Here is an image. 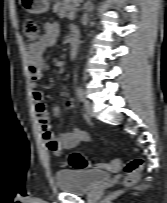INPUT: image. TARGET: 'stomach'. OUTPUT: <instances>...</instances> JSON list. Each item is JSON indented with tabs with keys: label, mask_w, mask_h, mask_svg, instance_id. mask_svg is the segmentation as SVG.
<instances>
[{
	"label": "stomach",
	"mask_w": 167,
	"mask_h": 203,
	"mask_svg": "<svg viewBox=\"0 0 167 203\" xmlns=\"http://www.w3.org/2000/svg\"><path fill=\"white\" fill-rule=\"evenodd\" d=\"M50 0H20L22 7L29 13L40 14L49 10Z\"/></svg>",
	"instance_id": "1"
}]
</instances>
